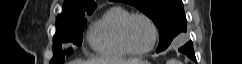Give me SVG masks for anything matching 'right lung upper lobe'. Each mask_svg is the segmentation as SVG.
Listing matches in <instances>:
<instances>
[{
    "instance_id": "obj_1",
    "label": "right lung upper lobe",
    "mask_w": 242,
    "mask_h": 64,
    "mask_svg": "<svg viewBox=\"0 0 242 64\" xmlns=\"http://www.w3.org/2000/svg\"><path fill=\"white\" fill-rule=\"evenodd\" d=\"M97 4L94 0H66L62 13L58 15L56 23L72 21L83 15L92 13Z\"/></svg>"
}]
</instances>
